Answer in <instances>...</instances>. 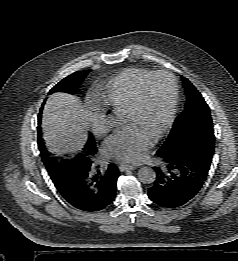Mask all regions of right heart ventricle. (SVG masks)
<instances>
[{
    "label": "right heart ventricle",
    "instance_id": "obj_1",
    "mask_svg": "<svg viewBox=\"0 0 238 261\" xmlns=\"http://www.w3.org/2000/svg\"><path fill=\"white\" fill-rule=\"evenodd\" d=\"M151 72L140 67L125 69L99 91L97 103L117 114L126 113L133 102L139 83Z\"/></svg>",
    "mask_w": 238,
    "mask_h": 261
}]
</instances>
